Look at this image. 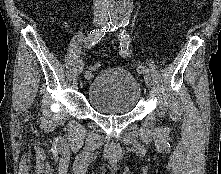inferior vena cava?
<instances>
[{
	"mask_svg": "<svg viewBox=\"0 0 221 174\" xmlns=\"http://www.w3.org/2000/svg\"><path fill=\"white\" fill-rule=\"evenodd\" d=\"M93 6H94V15L96 17H107V3L106 0H93Z\"/></svg>",
	"mask_w": 221,
	"mask_h": 174,
	"instance_id": "obj_1",
	"label": "inferior vena cava"
}]
</instances>
